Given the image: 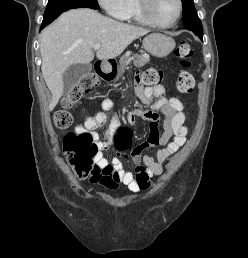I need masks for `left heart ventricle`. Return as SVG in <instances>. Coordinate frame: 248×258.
I'll return each instance as SVG.
<instances>
[{"instance_id":"1","label":"left heart ventricle","mask_w":248,"mask_h":258,"mask_svg":"<svg viewBox=\"0 0 248 258\" xmlns=\"http://www.w3.org/2000/svg\"><path fill=\"white\" fill-rule=\"evenodd\" d=\"M151 14L161 23H169L176 17L178 5L176 0H152Z\"/></svg>"}]
</instances>
